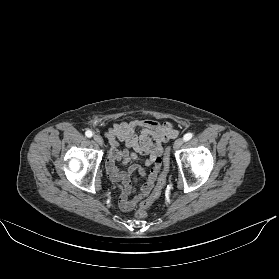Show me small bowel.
I'll return each instance as SVG.
<instances>
[{"label": "small bowel", "instance_id": "1", "mask_svg": "<svg viewBox=\"0 0 279 279\" xmlns=\"http://www.w3.org/2000/svg\"><path fill=\"white\" fill-rule=\"evenodd\" d=\"M178 134L169 122L159 123L152 119H135L130 122L114 124L106 133L111 149L106 161V172L109 178L118 183L121 195L119 207L123 211L132 210L151 191L161 168L163 144L174 139ZM120 142L126 148L120 147ZM140 160L150 167L148 172L139 165H132L126 171L116 166ZM131 175H135V183L143 180L137 189L133 187Z\"/></svg>", "mask_w": 279, "mask_h": 279}]
</instances>
